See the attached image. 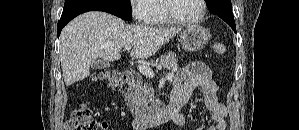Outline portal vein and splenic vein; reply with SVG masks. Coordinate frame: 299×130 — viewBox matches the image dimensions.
<instances>
[{"label":"portal vein and splenic vein","instance_id":"obj_1","mask_svg":"<svg viewBox=\"0 0 299 130\" xmlns=\"http://www.w3.org/2000/svg\"><path fill=\"white\" fill-rule=\"evenodd\" d=\"M124 49H125L126 51H129V50L131 49V45H126V46L124 47ZM138 70H139L142 74H144L145 76H148V77H151V78L154 77L153 70H152L150 67H148V66H145V65H138ZM173 77H174V73H169V74L166 75V79H168V80H171Z\"/></svg>","mask_w":299,"mask_h":130}]
</instances>
